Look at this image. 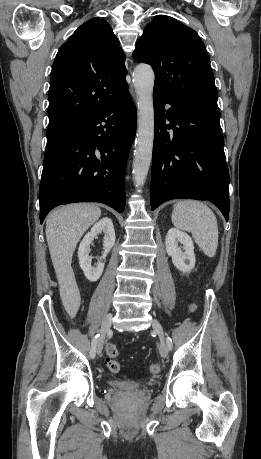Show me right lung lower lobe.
<instances>
[{
  "instance_id": "98d812e1",
  "label": "right lung lower lobe",
  "mask_w": 261,
  "mask_h": 459,
  "mask_svg": "<svg viewBox=\"0 0 261 459\" xmlns=\"http://www.w3.org/2000/svg\"><path fill=\"white\" fill-rule=\"evenodd\" d=\"M135 131L136 108L126 90L46 148L40 222L54 207L73 202H100L123 212L125 168Z\"/></svg>"
}]
</instances>
